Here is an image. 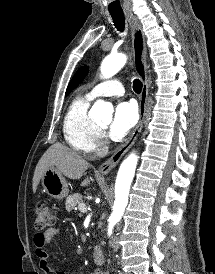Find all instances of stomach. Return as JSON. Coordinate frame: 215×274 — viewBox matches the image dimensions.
I'll list each match as a JSON object with an SVG mask.
<instances>
[{"mask_svg": "<svg viewBox=\"0 0 215 274\" xmlns=\"http://www.w3.org/2000/svg\"><path fill=\"white\" fill-rule=\"evenodd\" d=\"M43 189L56 199H63L68 195V184L64 177L55 170L48 168L41 178Z\"/></svg>", "mask_w": 215, "mask_h": 274, "instance_id": "1", "label": "stomach"}]
</instances>
